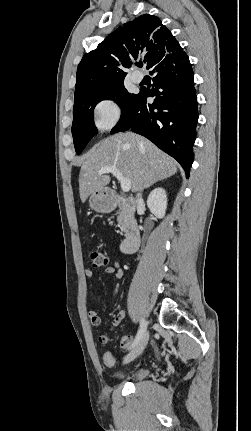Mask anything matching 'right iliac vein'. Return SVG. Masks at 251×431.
<instances>
[{"label":"right iliac vein","instance_id":"1","mask_svg":"<svg viewBox=\"0 0 251 431\" xmlns=\"http://www.w3.org/2000/svg\"><path fill=\"white\" fill-rule=\"evenodd\" d=\"M149 340V333L146 331L134 346V348L125 356L124 363H129L137 358L145 349Z\"/></svg>","mask_w":251,"mask_h":431}]
</instances>
